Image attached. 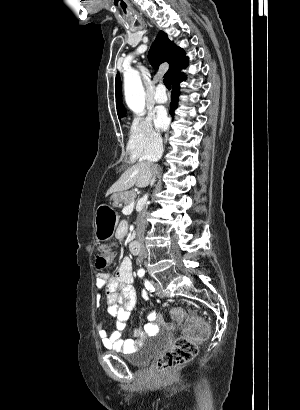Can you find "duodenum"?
Instances as JSON below:
<instances>
[{
    "instance_id": "obj_1",
    "label": "duodenum",
    "mask_w": 300,
    "mask_h": 410,
    "mask_svg": "<svg viewBox=\"0 0 300 410\" xmlns=\"http://www.w3.org/2000/svg\"><path fill=\"white\" fill-rule=\"evenodd\" d=\"M129 249H130L131 253H133V254H139L140 253V248H139V244H138L137 240H134L130 243Z\"/></svg>"
}]
</instances>
